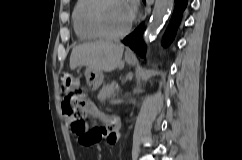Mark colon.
I'll list each match as a JSON object with an SVG mask.
<instances>
[{
	"mask_svg": "<svg viewBox=\"0 0 242 160\" xmlns=\"http://www.w3.org/2000/svg\"><path fill=\"white\" fill-rule=\"evenodd\" d=\"M61 93L65 98L63 112L67 117L74 118V131L79 135V141L84 145H93L99 137V130H88L84 115L89 112L84 91L73 75L64 71L60 75Z\"/></svg>",
	"mask_w": 242,
	"mask_h": 160,
	"instance_id": "colon-1",
	"label": "colon"
}]
</instances>
